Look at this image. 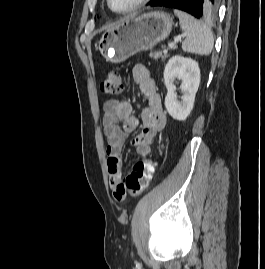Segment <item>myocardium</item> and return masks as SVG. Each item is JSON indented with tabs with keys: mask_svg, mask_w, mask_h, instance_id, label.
Returning a JSON list of instances; mask_svg holds the SVG:
<instances>
[{
	"mask_svg": "<svg viewBox=\"0 0 265 269\" xmlns=\"http://www.w3.org/2000/svg\"><path fill=\"white\" fill-rule=\"evenodd\" d=\"M149 1L150 0H137L132 6H130L127 9H124V10H116V9H114L112 7L111 0H106L109 9L112 12L117 13V14H127V13H131L133 11H136L137 9L141 8L142 6H144Z\"/></svg>",
	"mask_w": 265,
	"mask_h": 269,
	"instance_id": "obj_1",
	"label": "myocardium"
}]
</instances>
